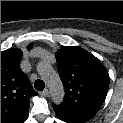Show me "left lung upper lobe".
<instances>
[{
	"instance_id": "5c2ea615",
	"label": "left lung upper lobe",
	"mask_w": 123,
	"mask_h": 123,
	"mask_svg": "<svg viewBox=\"0 0 123 123\" xmlns=\"http://www.w3.org/2000/svg\"><path fill=\"white\" fill-rule=\"evenodd\" d=\"M55 55L65 96L60 105L53 104L54 111L65 122L84 123L103 104L109 74L95 56L80 47H61Z\"/></svg>"
}]
</instances>
